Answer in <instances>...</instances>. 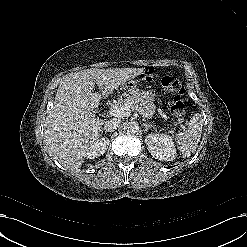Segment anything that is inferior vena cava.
Masks as SVG:
<instances>
[{"mask_svg": "<svg viewBox=\"0 0 247 247\" xmlns=\"http://www.w3.org/2000/svg\"><path fill=\"white\" fill-rule=\"evenodd\" d=\"M121 121L117 118H112L105 121L104 130L106 132H112L120 127Z\"/></svg>", "mask_w": 247, "mask_h": 247, "instance_id": "602c4592", "label": "inferior vena cava"}]
</instances>
